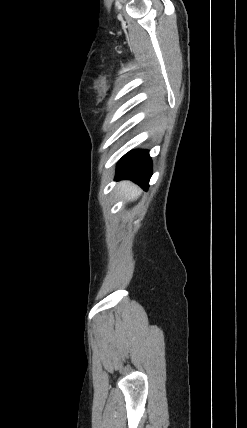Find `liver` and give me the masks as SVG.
<instances>
[{"label": "liver", "mask_w": 247, "mask_h": 428, "mask_svg": "<svg viewBox=\"0 0 247 428\" xmlns=\"http://www.w3.org/2000/svg\"><path fill=\"white\" fill-rule=\"evenodd\" d=\"M118 189H120L121 195L127 200H135L140 195L138 187L128 181L119 183Z\"/></svg>", "instance_id": "1"}]
</instances>
